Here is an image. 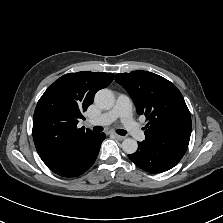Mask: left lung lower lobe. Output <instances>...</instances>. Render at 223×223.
I'll return each mask as SVG.
<instances>
[{"label":"left lung lower lobe","instance_id":"1","mask_svg":"<svg viewBox=\"0 0 223 223\" xmlns=\"http://www.w3.org/2000/svg\"><path fill=\"white\" fill-rule=\"evenodd\" d=\"M128 157L141 169L150 173H160L174 167L183 155L163 150L143 141L138 142L137 151L129 154Z\"/></svg>","mask_w":223,"mask_h":223}]
</instances>
